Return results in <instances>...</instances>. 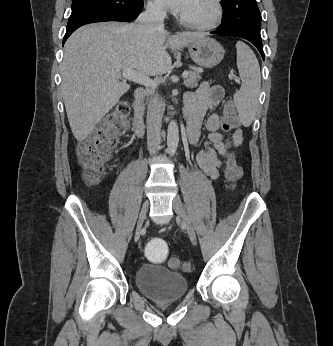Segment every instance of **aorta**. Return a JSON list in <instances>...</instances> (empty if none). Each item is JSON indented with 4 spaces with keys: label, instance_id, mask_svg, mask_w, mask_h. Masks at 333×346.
<instances>
[{
    "label": "aorta",
    "instance_id": "aorta-1",
    "mask_svg": "<svg viewBox=\"0 0 333 346\" xmlns=\"http://www.w3.org/2000/svg\"><path fill=\"white\" fill-rule=\"evenodd\" d=\"M179 143V129L176 121H170L167 129V152L170 156L176 153Z\"/></svg>",
    "mask_w": 333,
    "mask_h": 346
}]
</instances>
